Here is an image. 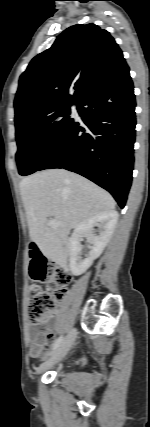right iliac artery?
Listing matches in <instances>:
<instances>
[{"label":"right iliac artery","mask_w":150,"mask_h":427,"mask_svg":"<svg viewBox=\"0 0 150 427\" xmlns=\"http://www.w3.org/2000/svg\"><path fill=\"white\" fill-rule=\"evenodd\" d=\"M64 337L60 336L53 344L52 346V350H55L56 348H58L60 346V344L63 342Z\"/></svg>","instance_id":"82829eb1"}]
</instances>
